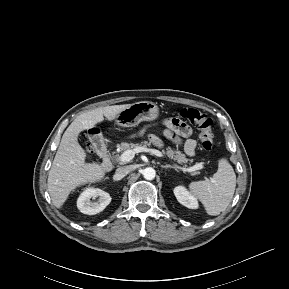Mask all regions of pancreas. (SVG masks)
<instances>
[{"mask_svg": "<svg viewBox=\"0 0 289 289\" xmlns=\"http://www.w3.org/2000/svg\"><path fill=\"white\" fill-rule=\"evenodd\" d=\"M146 145H148V142H147V141H143L142 144H134V143L122 142L121 144H118V145H117V148H118L119 151L125 152V151H127V150H133V149H135V148L138 147V146H146ZM163 152H165V154H166L168 157L174 159V160H175L176 162H178L179 164H183V163L186 164V163H188V161H189V159L186 158L185 154L182 153V152H181L180 150H178V149L174 150V149H171L170 147H168V148H166V150L163 151ZM115 160L120 161L118 155L115 156ZM121 163H122V161H121Z\"/></svg>", "mask_w": 289, "mask_h": 289, "instance_id": "cf45deb5", "label": "pancreas"}]
</instances>
